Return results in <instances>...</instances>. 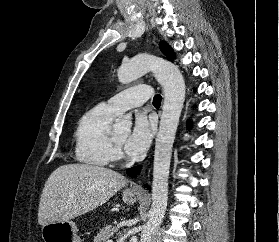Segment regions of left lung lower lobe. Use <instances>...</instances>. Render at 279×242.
Listing matches in <instances>:
<instances>
[{
  "label": "left lung lower lobe",
  "mask_w": 279,
  "mask_h": 242,
  "mask_svg": "<svg viewBox=\"0 0 279 242\" xmlns=\"http://www.w3.org/2000/svg\"><path fill=\"white\" fill-rule=\"evenodd\" d=\"M141 170V166H136L127 170V174L131 177L136 176Z\"/></svg>",
  "instance_id": "0a47b994"
}]
</instances>
